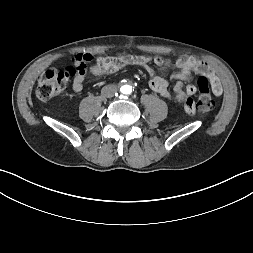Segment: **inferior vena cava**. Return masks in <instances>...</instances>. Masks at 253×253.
Wrapping results in <instances>:
<instances>
[{
	"mask_svg": "<svg viewBox=\"0 0 253 253\" xmlns=\"http://www.w3.org/2000/svg\"><path fill=\"white\" fill-rule=\"evenodd\" d=\"M102 95L105 97H113L117 92V87L115 85H107L102 88Z\"/></svg>",
	"mask_w": 253,
	"mask_h": 253,
	"instance_id": "1",
	"label": "inferior vena cava"
}]
</instances>
